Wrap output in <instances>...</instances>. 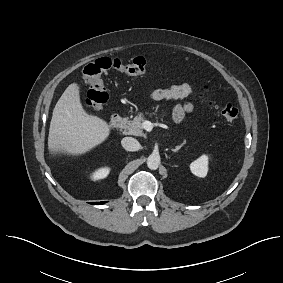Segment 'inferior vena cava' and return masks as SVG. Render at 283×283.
<instances>
[{"instance_id": "1", "label": "inferior vena cava", "mask_w": 283, "mask_h": 283, "mask_svg": "<svg viewBox=\"0 0 283 283\" xmlns=\"http://www.w3.org/2000/svg\"><path fill=\"white\" fill-rule=\"evenodd\" d=\"M121 144L127 151H137L140 149V143L132 137H124L121 140Z\"/></svg>"}]
</instances>
